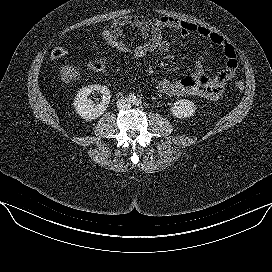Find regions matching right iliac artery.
Returning <instances> with one entry per match:
<instances>
[{"instance_id":"82829eb1","label":"right iliac artery","mask_w":272,"mask_h":272,"mask_svg":"<svg viewBox=\"0 0 272 272\" xmlns=\"http://www.w3.org/2000/svg\"><path fill=\"white\" fill-rule=\"evenodd\" d=\"M128 100H129L130 102H134V101L136 100V96H135L134 94H130V95L128 96Z\"/></svg>"}]
</instances>
